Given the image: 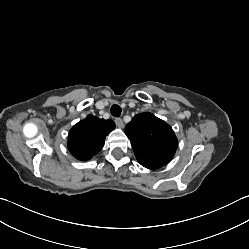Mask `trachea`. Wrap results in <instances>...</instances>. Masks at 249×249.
<instances>
[{
  "instance_id": "1",
  "label": "trachea",
  "mask_w": 249,
  "mask_h": 249,
  "mask_svg": "<svg viewBox=\"0 0 249 249\" xmlns=\"http://www.w3.org/2000/svg\"><path fill=\"white\" fill-rule=\"evenodd\" d=\"M110 112L114 117H119L121 115V107L118 104H113Z\"/></svg>"
}]
</instances>
